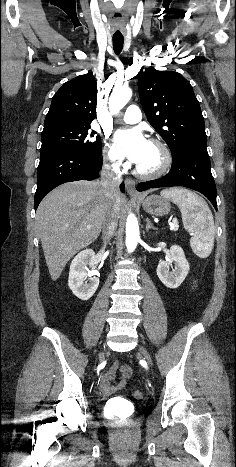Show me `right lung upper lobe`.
<instances>
[{
  "label": "right lung upper lobe",
  "instance_id": "right-lung-upper-lobe-1",
  "mask_svg": "<svg viewBox=\"0 0 236 467\" xmlns=\"http://www.w3.org/2000/svg\"><path fill=\"white\" fill-rule=\"evenodd\" d=\"M97 83L92 74L65 83L53 96L44 129L58 125H90L96 117Z\"/></svg>",
  "mask_w": 236,
  "mask_h": 467
}]
</instances>
